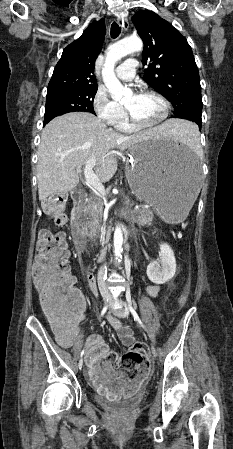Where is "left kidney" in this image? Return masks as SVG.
<instances>
[{"label": "left kidney", "mask_w": 233, "mask_h": 449, "mask_svg": "<svg viewBox=\"0 0 233 449\" xmlns=\"http://www.w3.org/2000/svg\"><path fill=\"white\" fill-rule=\"evenodd\" d=\"M160 260L147 266V276L154 284H165L176 273V259L172 248L167 243L160 244Z\"/></svg>", "instance_id": "left-kidney-1"}]
</instances>
